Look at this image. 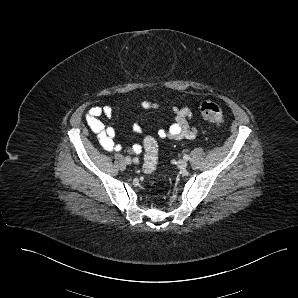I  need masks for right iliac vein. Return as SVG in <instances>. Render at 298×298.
Returning <instances> with one entry per match:
<instances>
[{
	"label": "right iliac vein",
	"mask_w": 298,
	"mask_h": 298,
	"mask_svg": "<svg viewBox=\"0 0 298 298\" xmlns=\"http://www.w3.org/2000/svg\"><path fill=\"white\" fill-rule=\"evenodd\" d=\"M131 162H132V159L130 157L125 158V163L126 164H131Z\"/></svg>",
	"instance_id": "right-iliac-vein-1"
}]
</instances>
